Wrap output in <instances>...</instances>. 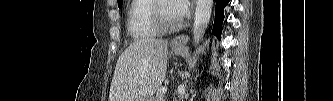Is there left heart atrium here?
Masks as SVG:
<instances>
[{
    "instance_id": "left-heart-atrium-1",
    "label": "left heart atrium",
    "mask_w": 333,
    "mask_h": 101,
    "mask_svg": "<svg viewBox=\"0 0 333 101\" xmlns=\"http://www.w3.org/2000/svg\"><path fill=\"white\" fill-rule=\"evenodd\" d=\"M189 4L188 0H175L172 1L171 8L177 16L182 17L186 14Z\"/></svg>"
}]
</instances>
